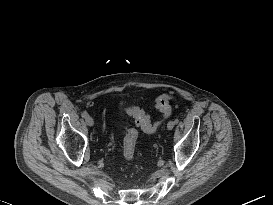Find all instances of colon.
<instances>
[{"label":"colon","instance_id":"obj_1","mask_svg":"<svg viewBox=\"0 0 273 205\" xmlns=\"http://www.w3.org/2000/svg\"><path fill=\"white\" fill-rule=\"evenodd\" d=\"M172 96L164 94L156 99V108L162 113L164 117L171 115L170 102ZM130 114L133 116L135 123L145 132L152 133L156 130L158 124H153L149 116L140 108L130 109ZM138 133L135 129H127L125 131L124 143H123V157L126 160H132L135 155L136 143Z\"/></svg>","mask_w":273,"mask_h":205}]
</instances>
